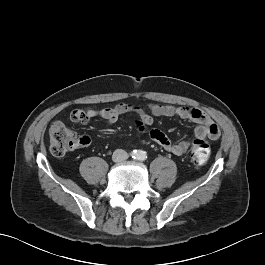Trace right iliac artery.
Segmentation results:
<instances>
[{
    "label": "right iliac artery",
    "mask_w": 265,
    "mask_h": 265,
    "mask_svg": "<svg viewBox=\"0 0 265 265\" xmlns=\"http://www.w3.org/2000/svg\"><path fill=\"white\" fill-rule=\"evenodd\" d=\"M137 155H138V154H137L136 150H134V151L131 152V156H132L133 158L137 157Z\"/></svg>",
    "instance_id": "obj_1"
}]
</instances>
